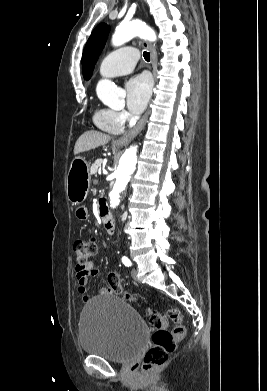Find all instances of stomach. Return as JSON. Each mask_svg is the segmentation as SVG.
<instances>
[{"mask_svg": "<svg viewBox=\"0 0 267 391\" xmlns=\"http://www.w3.org/2000/svg\"><path fill=\"white\" fill-rule=\"evenodd\" d=\"M90 186L89 164L85 159L76 157L67 175L66 193L73 205L81 204L87 197Z\"/></svg>", "mask_w": 267, "mask_h": 391, "instance_id": "obj_1", "label": "stomach"}]
</instances>
